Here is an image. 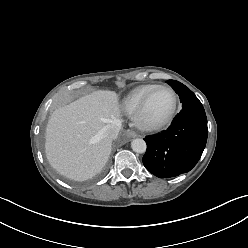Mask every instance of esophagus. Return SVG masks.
Listing matches in <instances>:
<instances>
[{"instance_id":"esophagus-1","label":"esophagus","mask_w":248,"mask_h":248,"mask_svg":"<svg viewBox=\"0 0 248 248\" xmlns=\"http://www.w3.org/2000/svg\"><path fill=\"white\" fill-rule=\"evenodd\" d=\"M127 134H128V136L130 138H136V137H138V134L136 132L132 131V130H128L127 131Z\"/></svg>"}]
</instances>
